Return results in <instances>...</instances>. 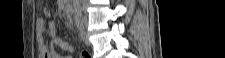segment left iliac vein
<instances>
[{"instance_id":"obj_1","label":"left iliac vein","mask_w":225,"mask_h":58,"mask_svg":"<svg viewBox=\"0 0 225 58\" xmlns=\"http://www.w3.org/2000/svg\"><path fill=\"white\" fill-rule=\"evenodd\" d=\"M81 21H82V23H84L83 19H81ZM80 36H81L82 41L85 44L90 45V40L88 38V34H87L86 30L84 29V26L82 29H80Z\"/></svg>"}]
</instances>
